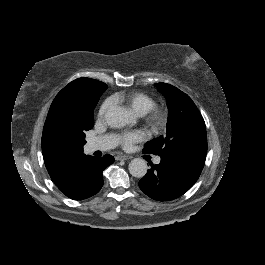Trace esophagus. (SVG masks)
<instances>
[{"instance_id":"1","label":"esophagus","mask_w":265,"mask_h":265,"mask_svg":"<svg viewBox=\"0 0 265 265\" xmlns=\"http://www.w3.org/2000/svg\"><path fill=\"white\" fill-rule=\"evenodd\" d=\"M131 158H132V156H129V155H117V156H115L116 160H129Z\"/></svg>"}]
</instances>
